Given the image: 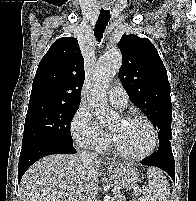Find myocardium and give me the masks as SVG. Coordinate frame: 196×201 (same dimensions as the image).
<instances>
[{
    "label": "myocardium",
    "mask_w": 196,
    "mask_h": 201,
    "mask_svg": "<svg viewBox=\"0 0 196 201\" xmlns=\"http://www.w3.org/2000/svg\"><path fill=\"white\" fill-rule=\"evenodd\" d=\"M122 120H124V121H140V122L145 123L148 126L150 133H151V143H150L149 148L145 152L138 154V155H132V154H128L125 151H123L120 148V146L118 145V143L116 142L113 135L110 134V139H111L115 153L122 159H125L128 161H142V160L148 158L149 156H151L154 153V151L156 150L157 143H158V134H157L154 124L147 117L142 116V115H130V116L123 117Z\"/></svg>",
    "instance_id": "myocardium-1"
}]
</instances>
